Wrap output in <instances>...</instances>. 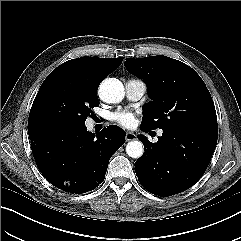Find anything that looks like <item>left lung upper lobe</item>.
I'll use <instances>...</instances> for the list:
<instances>
[{
	"instance_id": "left-lung-upper-lobe-1",
	"label": "left lung upper lobe",
	"mask_w": 241,
	"mask_h": 241,
	"mask_svg": "<svg viewBox=\"0 0 241 241\" xmlns=\"http://www.w3.org/2000/svg\"><path fill=\"white\" fill-rule=\"evenodd\" d=\"M125 67L143 79L151 101L144 105L140 128L171 127L217 133V116L209 90L190 66L163 55L126 59Z\"/></svg>"
}]
</instances>
